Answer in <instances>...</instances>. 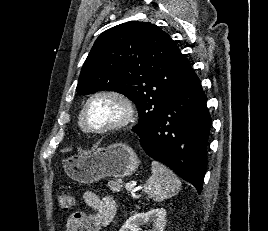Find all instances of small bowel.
<instances>
[{
  "label": "small bowel",
  "mask_w": 268,
  "mask_h": 231,
  "mask_svg": "<svg viewBox=\"0 0 268 231\" xmlns=\"http://www.w3.org/2000/svg\"><path fill=\"white\" fill-rule=\"evenodd\" d=\"M84 204L90 212L72 213L66 223V231H101L110 224L116 213V204L112 197L100 198L94 191H84Z\"/></svg>",
  "instance_id": "c3829d8e"
}]
</instances>
